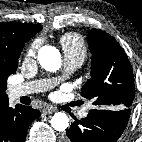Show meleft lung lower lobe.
Listing matches in <instances>:
<instances>
[{
    "label": "left lung lower lobe",
    "mask_w": 142,
    "mask_h": 142,
    "mask_svg": "<svg viewBox=\"0 0 142 142\" xmlns=\"http://www.w3.org/2000/svg\"><path fill=\"white\" fill-rule=\"evenodd\" d=\"M130 109H93L71 124L64 142H116L125 130Z\"/></svg>",
    "instance_id": "1"
}]
</instances>
